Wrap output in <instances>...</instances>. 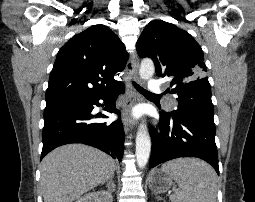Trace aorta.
I'll list each match as a JSON object with an SVG mask.
<instances>
[{
    "instance_id": "762f6f07",
    "label": "aorta",
    "mask_w": 255,
    "mask_h": 202,
    "mask_svg": "<svg viewBox=\"0 0 255 202\" xmlns=\"http://www.w3.org/2000/svg\"><path fill=\"white\" fill-rule=\"evenodd\" d=\"M155 72V66L151 59H143L141 61L139 76L141 79H150ZM151 152V139L147 125L142 123L136 135V160L139 168H144L148 162Z\"/></svg>"
}]
</instances>
